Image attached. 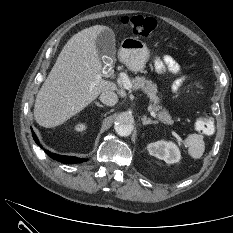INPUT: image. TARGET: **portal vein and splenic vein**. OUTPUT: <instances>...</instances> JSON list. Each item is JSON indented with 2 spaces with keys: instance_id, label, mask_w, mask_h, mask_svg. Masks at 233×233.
Masks as SVG:
<instances>
[{
  "instance_id": "1",
  "label": "portal vein and splenic vein",
  "mask_w": 233,
  "mask_h": 233,
  "mask_svg": "<svg viewBox=\"0 0 233 233\" xmlns=\"http://www.w3.org/2000/svg\"><path fill=\"white\" fill-rule=\"evenodd\" d=\"M119 78H120V84L123 86V88H125V89L131 88V82H130L128 76L124 72L119 73ZM96 79L101 80L102 79L101 75L97 74ZM150 114L154 118H157V119L159 118V116L154 111H151ZM172 134L176 135L175 132H172Z\"/></svg>"
}]
</instances>
